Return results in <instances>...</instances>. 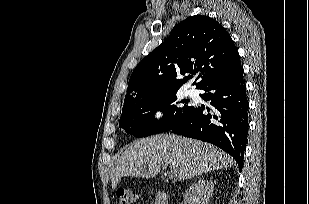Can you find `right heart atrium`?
<instances>
[{
    "mask_svg": "<svg viewBox=\"0 0 309 204\" xmlns=\"http://www.w3.org/2000/svg\"><path fill=\"white\" fill-rule=\"evenodd\" d=\"M163 115V109L160 106H156L153 110H152V118L154 120H157L159 118H161Z\"/></svg>",
    "mask_w": 309,
    "mask_h": 204,
    "instance_id": "1",
    "label": "right heart atrium"
}]
</instances>
